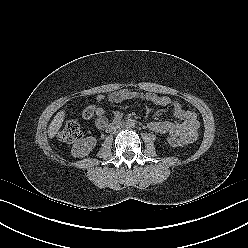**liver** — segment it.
I'll return each instance as SVG.
<instances>
[{
    "mask_svg": "<svg viewBox=\"0 0 248 248\" xmlns=\"http://www.w3.org/2000/svg\"><path fill=\"white\" fill-rule=\"evenodd\" d=\"M64 117H65V111H59L54 119L51 121L49 127H48V136L49 138H53L57 132L59 131V129L62 126V123L64 121Z\"/></svg>",
    "mask_w": 248,
    "mask_h": 248,
    "instance_id": "6515ba94",
    "label": "liver"
}]
</instances>
